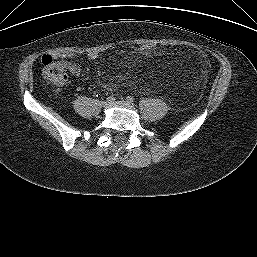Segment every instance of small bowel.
I'll use <instances>...</instances> for the list:
<instances>
[{
  "mask_svg": "<svg viewBox=\"0 0 257 257\" xmlns=\"http://www.w3.org/2000/svg\"><path fill=\"white\" fill-rule=\"evenodd\" d=\"M53 59H60L59 64L63 69L67 70L73 77H78L80 75V67L77 62V57L75 55L65 54V53H53L50 55ZM90 59H96L97 53L92 52L89 55Z\"/></svg>",
  "mask_w": 257,
  "mask_h": 257,
  "instance_id": "c3829d8e",
  "label": "small bowel"
}]
</instances>
